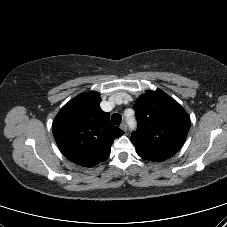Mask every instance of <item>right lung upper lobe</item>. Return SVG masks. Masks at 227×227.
Returning <instances> with one entry per match:
<instances>
[{"label": "right lung upper lobe", "mask_w": 227, "mask_h": 227, "mask_svg": "<svg viewBox=\"0 0 227 227\" xmlns=\"http://www.w3.org/2000/svg\"><path fill=\"white\" fill-rule=\"evenodd\" d=\"M100 100L98 92L81 93L62 107L52 124L62 154L80 166L93 167L106 159L114 139L124 133L110 123Z\"/></svg>", "instance_id": "right-lung-upper-lobe-1"}]
</instances>
